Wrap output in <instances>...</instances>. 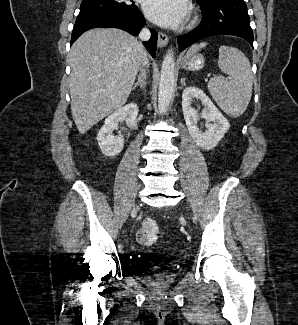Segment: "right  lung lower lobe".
Listing matches in <instances>:
<instances>
[{
  "mask_svg": "<svg viewBox=\"0 0 298 325\" xmlns=\"http://www.w3.org/2000/svg\"><path fill=\"white\" fill-rule=\"evenodd\" d=\"M145 20L141 12L133 10H108L79 14L72 32L71 44L85 31L96 27H114L136 36L143 28ZM151 39L143 42L151 56L155 58L157 49V32L151 29Z\"/></svg>",
  "mask_w": 298,
  "mask_h": 325,
  "instance_id": "right-lung-lower-lobe-1",
  "label": "right lung lower lobe"
}]
</instances>
